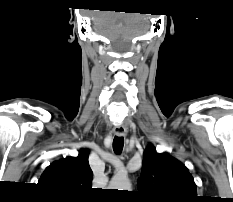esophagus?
I'll use <instances>...</instances> for the list:
<instances>
[{
	"label": "esophagus",
	"instance_id": "esophagus-1",
	"mask_svg": "<svg viewBox=\"0 0 233 202\" xmlns=\"http://www.w3.org/2000/svg\"><path fill=\"white\" fill-rule=\"evenodd\" d=\"M114 133L118 136L125 135L126 133V128L123 125H118L114 127Z\"/></svg>",
	"mask_w": 233,
	"mask_h": 202
}]
</instances>
